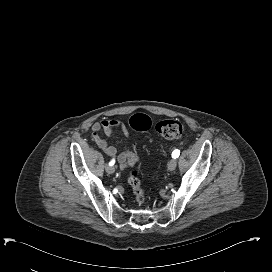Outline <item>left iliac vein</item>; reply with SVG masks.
<instances>
[{"label": "left iliac vein", "mask_w": 272, "mask_h": 272, "mask_svg": "<svg viewBox=\"0 0 272 272\" xmlns=\"http://www.w3.org/2000/svg\"><path fill=\"white\" fill-rule=\"evenodd\" d=\"M176 166H177V161L175 159H171L167 165L169 171L175 170Z\"/></svg>", "instance_id": "1"}]
</instances>
